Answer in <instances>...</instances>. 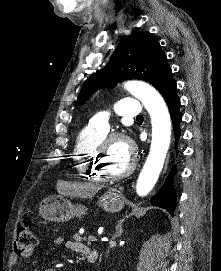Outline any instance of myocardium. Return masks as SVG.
<instances>
[{
	"mask_svg": "<svg viewBox=\"0 0 221 271\" xmlns=\"http://www.w3.org/2000/svg\"><path fill=\"white\" fill-rule=\"evenodd\" d=\"M114 142H122V143H114ZM124 142V143H123ZM104 145H97V150L99 151V155L95 157L96 163L100 167L96 168V171L99 173L101 178H115V179H127V175H131V172L137 170V161H135V157H130V167H127L126 170H122V173H108L107 165L103 161V155L106 156L108 153L109 145H126L129 147V150H135V140H131L130 133H112L111 137H108L107 140L103 141Z\"/></svg>",
	"mask_w": 221,
	"mask_h": 271,
	"instance_id": "f54148a6",
	"label": "myocardium"
}]
</instances>
